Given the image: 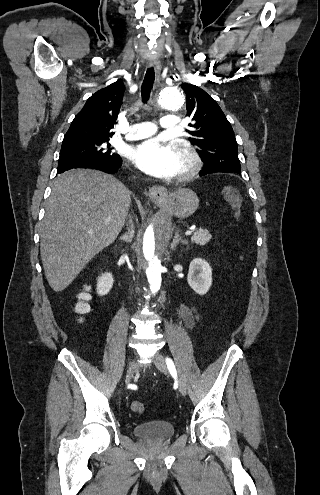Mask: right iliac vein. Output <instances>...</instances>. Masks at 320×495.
<instances>
[{
	"label": "right iliac vein",
	"mask_w": 320,
	"mask_h": 495,
	"mask_svg": "<svg viewBox=\"0 0 320 495\" xmlns=\"http://www.w3.org/2000/svg\"><path fill=\"white\" fill-rule=\"evenodd\" d=\"M133 365H134V360H131L130 363H129V370H128V374H127V379L126 381L127 382H130L131 378H132V375H133Z\"/></svg>",
	"instance_id": "right-iliac-vein-1"
}]
</instances>
